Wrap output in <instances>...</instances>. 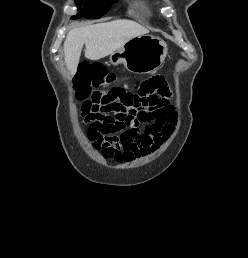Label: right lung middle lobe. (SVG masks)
<instances>
[{"mask_svg": "<svg viewBox=\"0 0 248 258\" xmlns=\"http://www.w3.org/2000/svg\"><path fill=\"white\" fill-rule=\"evenodd\" d=\"M116 1L117 0H76L78 14L73 16L72 19H78L81 16L88 19H98L107 13L111 5Z\"/></svg>", "mask_w": 248, "mask_h": 258, "instance_id": "obj_1", "label": "right lung middle lobe"}]
</instances>
